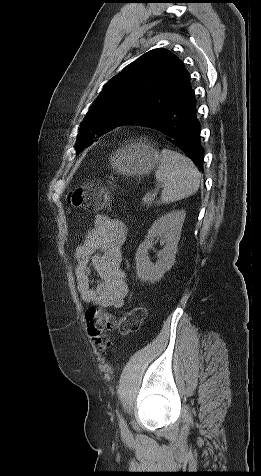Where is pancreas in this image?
I'll use <instances>...</instances> for the list:
<instances>
[{
  "mask_svg": "<svg viewBox=\"0 0 261 476\" xmlns=\"http://www.w3.org/2000/svg\"><path fill=\"white\" fill-rule=\"evenodd\" d=\"M153 202H154V197L150 193L146 194L142 199L143 205H146L147 208L151 207Z\"/></svg>",
  "mask_w": 261,
  "mask_h": 476,
  "instance_id": "obj_1",
  "label": "pancreas"
}]
</instances>
